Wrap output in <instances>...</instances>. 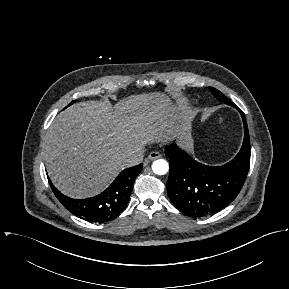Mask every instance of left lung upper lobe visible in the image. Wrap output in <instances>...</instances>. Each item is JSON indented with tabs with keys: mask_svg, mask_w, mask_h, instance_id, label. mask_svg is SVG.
<instances>
[{
	"mask_svg": "<svg viewBox=\"0 0 289 289\" xmlns=\"http://www.w3.org/2000/svg\"><path fill=\"white\" fill-rule=\"evenodd\" d=\"M211 93L219 100V101H222L228 105H232L234 106L235 108H237V106L231 102L229 99H227L220 91H218L217 89H214L212 87L209 88Z\"/></svg>",
	"mask_w": 289,
	"mask_h": 289,
	"instance_id": "1",
	"label": "left lung upper lobe"
}]
</instances>
